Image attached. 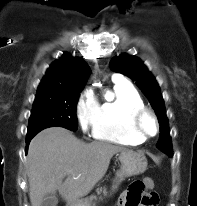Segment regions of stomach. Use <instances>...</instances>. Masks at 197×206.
I'll use <instances>...</instances> for the list:
<instances>
[{"label":"stomach","mask_w":197,"mask_h":206,"mask_svg":"<svg viewBox=\"0 0 197 206\" xmlns=\"http://www.w3.org/2000/svg\"><path fill=\"white\" fill-rule=\"evenodd\" d=\"M119 160L121 162V168L117 172L116 179L114 180V185L112 186L113 191L125 178L139 175L147 168V159L139 152L122 151L119 155ZM69 206H91V203L89 199H82Z\"/></svg>","instance_id":"0dacf381"}]
</instances>
